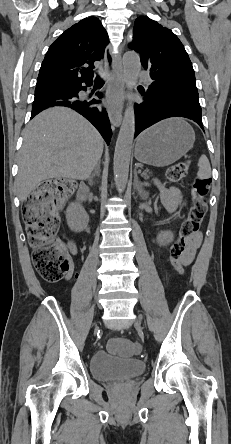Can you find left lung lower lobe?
<instances>
[{"label": "left lung lower lobe", "mask_w": 231, "mask_h": 444, "mask_svg": "<svg viewBox=\"0 0 231 444\" xmlns=\"http://www.w3.org/2000/svg\"><path fill=\"white\" fill-rule=\"evenodd\" d=\"M143 102L135 104V137L144 129L169 117H186L202 126L198 97L185 96L165 89H139Z\"/></svg>", "instance_id": "left-lung-lower-lobe-1"}]
</instances>
